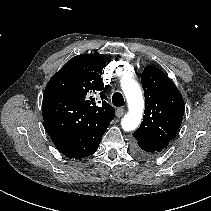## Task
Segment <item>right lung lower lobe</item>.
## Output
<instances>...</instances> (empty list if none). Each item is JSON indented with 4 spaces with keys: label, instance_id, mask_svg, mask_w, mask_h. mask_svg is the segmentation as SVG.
<instances>
[{
    "label": "right lung lower lobe",
    "instance_id": "right-lung-lower-lobe-1",
    "mask_svg": "<svg viewBox=\"0 0 211 211\" xmlns=\"http://www.w3.org/2000/svg\"><path fill=\"white\" fill-rule=\"evenodd\" d=\"M43 119L58 151L76 159L94 154L108 127L83 120L76 100L50 92L43 95Z\"/></svg>",
    "mask_w": 211,
    "mask_h": 211
}]
</instances>
